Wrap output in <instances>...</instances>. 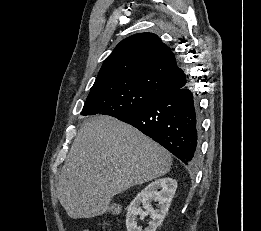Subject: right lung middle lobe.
I'll use <instances>...</instances> for the list:
<instances>
[{"label": "right lung middle lobe", "mask_w": 261, "mask_h": 231, "mask_svg": "<svg viewBox=\"0 0 261 231\" xmlns=\"http://www.w3.org/2000/svg\"><path fill=\"white\" fill-rule=\"evenodd\" d=\"M157 96L140 87L90 92L81 115L106 114L116 118L133 113L153 101Z\"/></svg>", "instance_id": "right-lung-middle-lobe-1"}]
</instances>
